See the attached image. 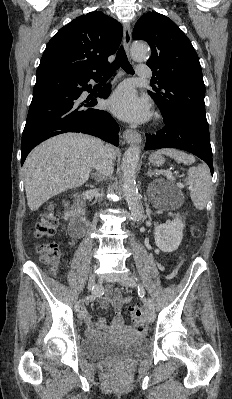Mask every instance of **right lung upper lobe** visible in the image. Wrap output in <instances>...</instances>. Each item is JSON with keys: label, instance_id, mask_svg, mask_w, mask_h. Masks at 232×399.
<instances>
[{"label": "right lung upper lobe", "instance_id": "1", "mask_svg": "<svg viewBox=\"0 0 232 399\" xmlns=\"http://www.w3.org/2000/svg\"><path fill=\"white\" fill-rule=\"evenodd\" d=\"M123 28L100 11L90 12L61 28L48 42L37 76L103 73L115 53Z\"/></svg>", "mask_w": 232, "mask_h": 399}]
</instances>
